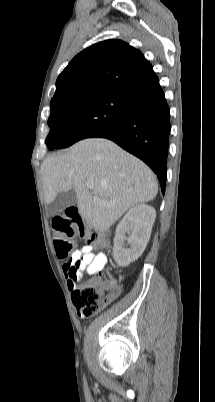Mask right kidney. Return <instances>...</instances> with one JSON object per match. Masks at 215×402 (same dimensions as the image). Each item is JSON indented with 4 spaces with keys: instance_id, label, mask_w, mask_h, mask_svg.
<instances>
[{
    "instance_id": "right-kidney-1",
    "label": "right kidney",
    "mask_w": 215,
    "mask_h": 402,
    "mask_svg": "<svg viewBox=\"0 0 215 402\" xmlns=\"http://www.w3.org/2000/svg\"><path fill=\"white\" fill-rule=\"evenodd\" d=\"M155 217V209L146 204L133 206L125 214L116 228L113 246L114 260L119 266L126 267L142 255L149 241Z\"/></svg>"
}]
</instances>
